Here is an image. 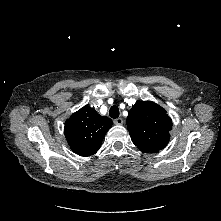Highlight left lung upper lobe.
I'll use <instances>...</instances> for the list:
<instances>
[{
  "instance_id": "5c2ea615",
  "label": "left lung upper lobe",
  "mask_w": 221,
  "mask_h": 221,
  "mask_svg": "<svg viewBox=\"0 0 221 221\" xmlns=\"http://www.w3.org/2000/svg\"><path fill=\"white\" fill-rule=\"evenodd\" d=\"M133 143L145 153H156L166 147L172 129L167 111L151 101H137L126 119Z\"/></svg>"
}]
</instances>
